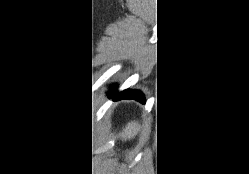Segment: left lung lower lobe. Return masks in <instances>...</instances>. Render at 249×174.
<instances>
[{
	"label": "left lung lower lobe",
	"mask_w": 249,
	"mask_h": 174,
	"mask_svg": "<svg viewBox=\"0 0 249 174\" xmlns=\"http://www.w3.org/2000/svg\"><path fill=\"white\" fill-rule=\"evenodd\" d=\"M110 97L115 96L116 100L119 99H135L139 102L145 103V98L140 91L137 90H124L123 92L116 93L115 86L112 87L111 91L108 93Z\"/></svg>",
	"instance_id": "1"
}]
</instances>
